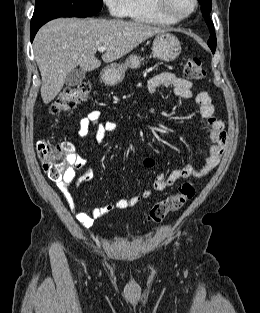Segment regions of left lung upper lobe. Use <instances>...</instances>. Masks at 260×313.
I'll return each instance as SVG.
<instances>
[{"label": "left lung upper lobe", "mask_w": 260, "mask_h": 313, "mask_svg": "<svg viewBox=\"0 0 260 313\" xmlns=\"http://www.w3.org/2000/svg\"><path fill=\"white\" fill-rule=\"evenodd\" d=\"M199 3L202 6V15L205 18V21L210 29V32L212 33L209 40H208V46L211 48L212 52H215L216 49V36L214 34V25L213 22L209 18V13L211 11V0H198Z\"/></svg>", "instance_id": "1"}]
</instances>
